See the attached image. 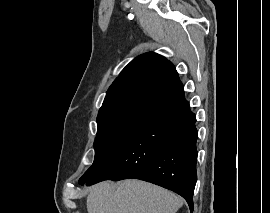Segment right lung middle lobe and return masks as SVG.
I'll use <instances>...</instances> for the list:
<instances>
[{"label": "right lung middle lobe", "mask_w": 270, "mask_h": 213, "mask_svg": "<svg viewBox=\"0 0 270 213\" xmlns=\"http://www.w3.org/2000/svg\"><path fill=\"white\" fill-rule=\"evenodd\" d=\"M155 106L135 102L98 115L94 162L80 178V183L91 179L107 165Z\"/></svg>", "instance_id": "dd1d6c3e"}]
</instances>
